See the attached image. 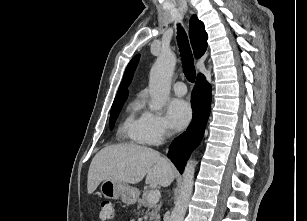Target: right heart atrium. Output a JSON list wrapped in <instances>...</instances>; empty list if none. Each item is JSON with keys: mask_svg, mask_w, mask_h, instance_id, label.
Masks as SVG:
<instances>
[{"mask_svg": "<svg viewBox=\"0 0 307 221\" xmlns=\"http://www.w3.org/2000/svg\"><path fill=\"white\" fill-rule=\"evenodd\" d=\"M142 122L147 144H160L171 135L165 118L156 112L145 110L142 114Z\"/></svg>", "mask_w": 307, "mask_h": 221, "instance_id": "1", "label": "right heart atrium"}]
</instances>
